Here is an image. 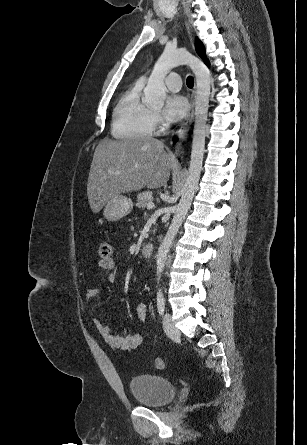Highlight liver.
Returning a JSON list of instances; mask_svg holds the SVG:
<instances>
[{
  "instance_id": "obj_1",
  "label": "liver",
  "mask_w": 307,
  "mask_h": 445,
  "mask_svg": "<svg viewBox=\"0 0 307 445\" xmlns=\"http://www.w3.org/2000/svg\"><path fill=\"white\" fill-rule=\"evenodd\" d=\"M173 154H167L164 144L157 138H103L95 148L91 162L87 196L92 212H99L107 200L133 192L143 186L160 188L169 180ZM119 172V174H111Z\"/></svg>"
}]
</instances>
